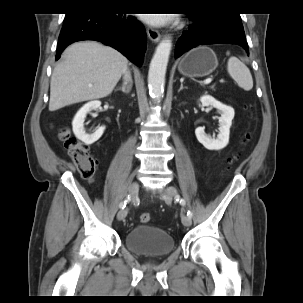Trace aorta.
<instances>
[{
  "label": "aorta",
  "instance_id": "1",
  "mask_svg": "<svg viewBox=\"0 0 303 303\" xmlns=\"http://www.w3.org/2000/svg\"><path fill=\"white\" fill-rule=\"evenodd\" d=\"M172 48V40L165 37L158 44L149 66V93L154 99H160L164 93L165 74Z\"/></svg>",
  "mask_w": 303,
  "mask_h": 303
}]
</instances>
